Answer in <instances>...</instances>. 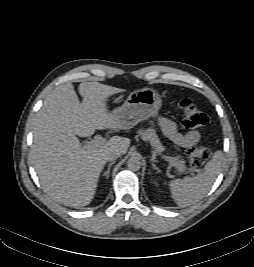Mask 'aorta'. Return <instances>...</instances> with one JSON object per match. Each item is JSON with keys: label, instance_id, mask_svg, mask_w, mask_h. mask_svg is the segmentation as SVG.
<instances>
[{"label": "aorta", "instance_id": "aorta-1", "mask_svg": "<svg viewBox=\"0 0 254 267\" xmlns=\"http://www.w3.org/2000/svg\"><path fill=\"white\" fill-rule=\"evenodd\" d=\"M141 160L138 156L133 155L127 161V167L131 171H138L141 168Z\"/></svg>", "mask_w": 254, "mask_h": 267}]
</instances>
